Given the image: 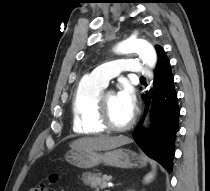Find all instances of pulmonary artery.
Returning <instances> with one entry per match:
<instances>
[{
	"label": "pulmonary artery",
	"mask_w": 210,
	"mask_h": 191,
	"mask_svg": "<svg viewBox=\"0 0 210 191\" xmlns=\"http://www.w3.org/2000/svg\"><path fill=\"white\" fill-rule=\"evenodd\" d=\"M122 71H130L140 76H148L150 74L139 61L122 58L101 64L88 73L87 77L106 86L109 80L119 75Z\"/></svg>",
	"instance_id": "pulmonary-artery-1"
}]
</instances>
